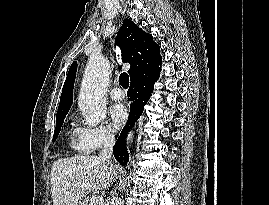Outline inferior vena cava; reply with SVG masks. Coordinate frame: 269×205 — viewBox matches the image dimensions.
Returning a JSON list of instances; mask_svg holds the SVG:
<instances>
[{"label":"inferior vena cava","instance_id":"1","mask_svg":"<svg viewBox=\"0 0 269 205\" xmlns=\"http://www.w3.org/2000/svg\"><path fill=\"white\" fill-rule=\"evenodd\" d=\"M114 143H115L114 135L110 133H105L103 136V148L99 154V158L107 160L110 164H112L111 158L113 154Z\"/></svg>","mask_w":269,"mask_h":205}]
</instances>
